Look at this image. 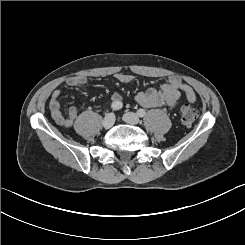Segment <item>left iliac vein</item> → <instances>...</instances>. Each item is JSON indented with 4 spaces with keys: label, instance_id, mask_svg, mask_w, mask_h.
I'll use <instances>...</instances> for the list:
<instances>
[{
    "label": "left iliac vein",
    "instance_id": "left-iliac-vein-1",
    "mask_svg": "<svg viewBox=\"0 0 245 245\" xmlns=\"http://www.w3.org/2000/svg\"><path fill=\"white\" fill-rule=\"evenodd\" d=\"M124 121L128 124L136 125L140 122L139 116L134 112H127L123 117Z\"/></svg>",
    "mask_w": 245,
    "mask_h": 245
}]
</instances>
